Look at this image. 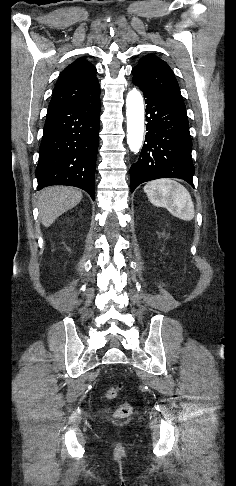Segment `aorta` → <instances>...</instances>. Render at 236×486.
I'll return each mask as SVG.
<instances>
[{
    "mask_svg": "<svg viewBox=\"0 0 236 486\" xmlns=\"http://www.w3.org/2000/svg\"><path fill=\"white\" fill-rule=\"evenodd\" d=\"M126 116L127 143L131 152L138 153L144 135V104L141 93L135 88L127 94Z\"/></svg>",
    "mask_w": 236,
    "mask_h": 486,
    "instance_id": "762f6f07",
    "label": "aorta"
}]
</instances>
